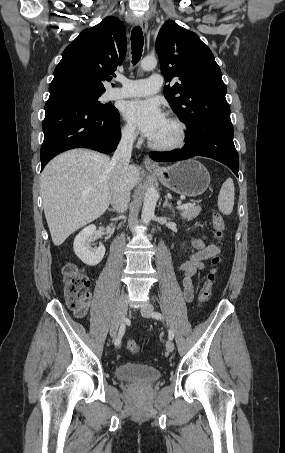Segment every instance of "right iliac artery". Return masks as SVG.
<instances>
[{
  "label": "right iliac artery",
  "instance_id": "82829eb1",
  "mask_svg": "<svg viewBox=\"0 0 285 453\" xmlns=\"http://www.w3.org/2000/svg\"><path fill=\"white\" fill-rule=\"evenodd\" d=\"M125 328H126L125 322H123V323L121 324V326H120L118 336H117V338H116V340H115V345H116V346L120 345V343H121V338H122V336H123L124 333H125Z\"/></svg>",
  "mask_w": 285,
  "mask_h": 453
}]
</instances>
